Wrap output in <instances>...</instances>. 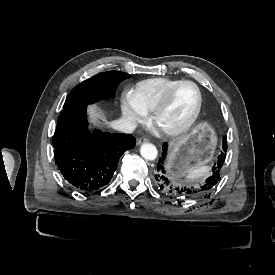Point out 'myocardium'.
<instances>
[{"label": "myocardium", "instance_id": "f54148a6", "mask_svg": "<svg viewBox=\"0 0 275 275\" xmlns=\"http://www.w3.org/2000/svg\"><path fill=\"white\" fill-rule=\"evenodd\" d=\"M182 84H192L196 88L197 96H198L197 105H196L193 113L182 125H180L179 127H176V128H172V129L160 130L157 127V120H158L159 116L168 108L170 101L172 99V96L174 94V91L177 89V87H179ZM202 103H203L202 92H201L200 87L195 82H193L191 80L177 81L169 87V89L166 91L163 98L161 99L160 103L155 108V110L153 112V124H154L155 128L160 133H162L164 135L177 136V135L183 134L186 131H188L192 127V125L196 122V120L201 112V109H202Z\"/></svg>", "mask_w": 275, "mask_h": 275}]
</instances>
